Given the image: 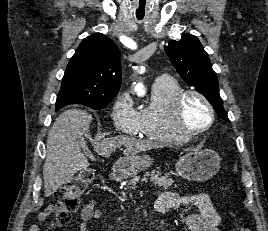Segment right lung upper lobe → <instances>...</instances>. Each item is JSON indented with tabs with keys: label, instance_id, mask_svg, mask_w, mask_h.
Returning a JSON list of instances; mask_svg holds the SVG:
<instances>
[{
	"label": "right lung upper lobe",
	"instance_id": "right-lung-upper-lobe-1",
	"mask_svg": "<svg viewBox=\"0 0 268 231\" xmlns=\"http://www.w3.org/2000/svg\"><path fill=\"white\" fill-rule=\"evenodd\" d=\"M121 85L120 52L101 33L85 38L67 65L57 102L78 104L114 98Z\"/></svg>",
	"mask_w": 268,
	"mask_h": 231
}]
</instances>
